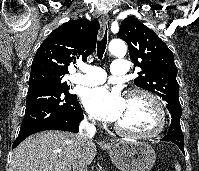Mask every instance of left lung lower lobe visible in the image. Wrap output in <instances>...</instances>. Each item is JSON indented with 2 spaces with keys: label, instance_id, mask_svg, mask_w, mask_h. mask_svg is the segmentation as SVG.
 <instances>
[{
  "label": "left lung lower lobe",
  "instance_id": "0a47b994",
  "mask_svg": "<svg viewBox=\"0 0 199 171\" xmlns=\"http://www.w3.org/2000/svg\"><path fill=\"white\" fill-rule=\"evenodd\" d=\"M162 140L175 143L184 152V136L182 134L179 118L172 117L168 133Z\"/></svg>",
  "mask_w": 199,
  "mask_h": 171
}]
</instances>
